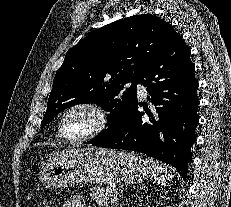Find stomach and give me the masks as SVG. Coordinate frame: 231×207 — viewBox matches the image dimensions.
<instances>
[{
	"mask_svg": "<svg viewBox=\"0 0 231 207\" xmlns=\"http://www.w3.org/2000/svg\"><path fill=\"white\" fill-rule=\"evenodd\" d=\"M151 173L149 164L134 153L120 150L75 149L58 154L43 168L46 188L86 183H140Z\"/></svg>",
	"mask_w": 231,
	"mask_h": 207,
	"instance_id": "obj_1",
	"label": "stomach"
}]
</instances>
